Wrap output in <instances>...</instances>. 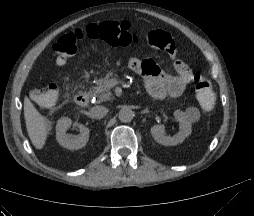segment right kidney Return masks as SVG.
Returning a JSON list of instances; mask_svg holds the SVG:
<instances>
[{"label":"right kidney","instance_id":"right-kidney-1","mask_svg":"<svg viewBox=\"0 0 254 216\" xmlns=\"http://www.w3.org/2000/svg\"><path fill=\"white\" fill-rule=\"evenodd\" d=\"M78 127L80 134L77 136H70L67 130L71 127ZM90 130L82 124L72 123L71 119L62 117L58 120L56 125V139L58 143L67 149L77 150L86 145L89 140Z\"/></svg>","mask_w":254,"mask_h":216}]
</instances>
